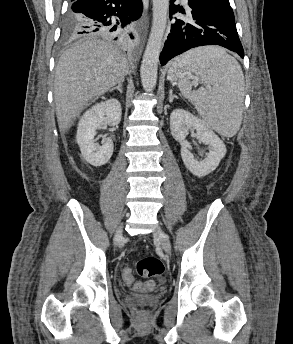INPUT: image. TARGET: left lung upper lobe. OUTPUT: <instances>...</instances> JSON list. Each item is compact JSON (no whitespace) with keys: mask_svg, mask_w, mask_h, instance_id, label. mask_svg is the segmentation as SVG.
<instances>
[{"mask_svg":"<svg viewBox=\"0 0 293 344\" xmlns=\"http://www.w3.org/2000/svg\"><path fill=\"white\" fill-rule=\"evenodd\" d=\"M217 4L221 6L222 9H224L226 12H229L230 15L234 16L233 10L230 6L229 0H213Z\"/></svg>","mask_w":293,"mask_h":344,"instance_id":"5c2ea615","label":"left lung upper lobe"}]
</instances>
